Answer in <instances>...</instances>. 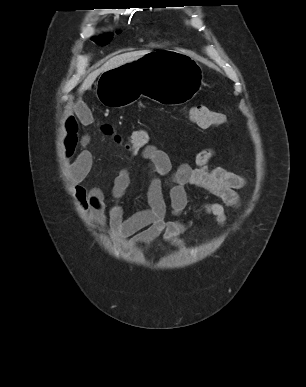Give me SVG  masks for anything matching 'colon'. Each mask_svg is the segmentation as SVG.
Here are the masks:
<instances>
[{
    "instance_id": "colon-1",
    "label": "colon",
    "mask_w": 306,
    "mask_h": 387,
    "mask_svg": "<svg viewBox=\"0 0 306 387\" xmlns=\"http://www.w3.org/2000/svg\"><path fill=\"white\" fill-rule=\"evenodd\" d=\"M188 118L191 122L201 128L216 127L224 123L225 117L222 113L214 111L205 105H196L188 110ZM102 133L110 138L122 150L129 155H135L149 144V134L145 129H137L127 138L121 137L109 124L101 126Z\"/></svg>"
}]
</instances>
